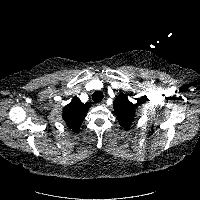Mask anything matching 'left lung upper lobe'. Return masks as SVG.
Wrapping results in <instances>:
<instances>
[{
  "mask_svg": "<svg viewBox=\"0 0 200 200\" xmlns=\"http://www.w3.org/2000/svg\"><path fill=\"white\" fill-rule=\"evenodd\" d=\"M113 107L118 122L122 127L128 130L135 117L134 105L125 95L120 94L115 99Z\"/></svg>",
  "mask_w": 200,
  "mask_h": 200,
  "instance_id": "left-lung-upper-lobe-1",
  "label": "left lung upper lobe"
}]
</instances>
